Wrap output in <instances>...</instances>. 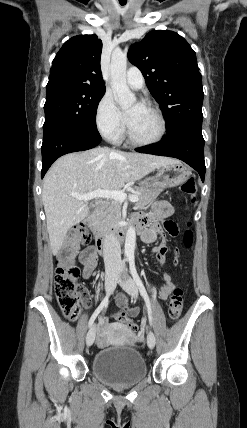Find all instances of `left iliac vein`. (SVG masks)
Here are the masks:
<instances>
[{"label": "left iliac vein", "mask_w": 247, "mask_h": 428, "mask_svg": "<svg viewBox=\"0 0 247 428\" xmlns=\"http://www.w3.org/2000/svg\"><path fill=\"white\" fill-rule=\"evenodd\" d=\"M121 267L123 271H126L125 263H122ZM119 284L132 298L137 299L138 288L135 281L131 277L127 276L125 281L119 280ZM147 344L151 349H153L156 344L155 335L152 331L148 332Z\"/></svg>", "instance_id": "4c4485c4"}]
</instances>
